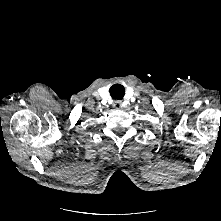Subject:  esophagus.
<instances>
[{"instance_id":"esophagus-1","label":"esophagus","mask_w":221,"mask_h":221,"mask_svg":"<svg viewBox=\"0 0 221 221\" xmlns=\"http://www.w3.org/2000/svg\"><path fill=\"white\" fill-rule=\"evenodd\" d=\"M114 107H115L116 109H120V108L122 107L121 102H120V101H116V102L114 103Z\"/></svg>"}]
</instances>
